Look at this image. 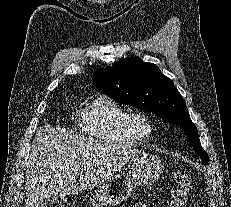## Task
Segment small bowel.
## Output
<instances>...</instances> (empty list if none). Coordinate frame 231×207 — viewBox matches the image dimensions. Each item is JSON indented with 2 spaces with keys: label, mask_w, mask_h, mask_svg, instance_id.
Listing matches in <instances>:
<instances>
[{
  "label": "small bowel",
  "mask_w": 231,
  "mask_h": 207,
  "mask_svg": "<svg viewBox=\"0 0 231 207\" xmlns=\"http://www.w3.org/2000/svg\"><path fill=\"white\" fill-rule=\"evenodd\" d=\"M132 207H152V206L148 203H142V204L133 205Z\"/></svg>",
  "instance_id": "small-bowel-1"
}]
</instances>
